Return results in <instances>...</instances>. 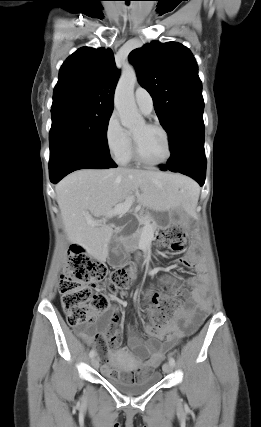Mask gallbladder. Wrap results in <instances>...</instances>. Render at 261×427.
Segmentation results:
<instances>
[{
    "instance_id": "1",
    "label": "gallbladder",
    "mask_w": 261,
    "mask_h": 427,
    "mask_svg": "<svg viewBox=\"0 0 261 427\" xmlns=\"http://www.w3.org/2000/svg\"><path fill=\"white\" fill-rule=\"evenodd\" d=\"M116 242L114 239L110 241L109 244V255H108V263L110 265L118 266L125 261V253L122 248H119L118 251H115Z\"/></svg>"
}]
</instances>
